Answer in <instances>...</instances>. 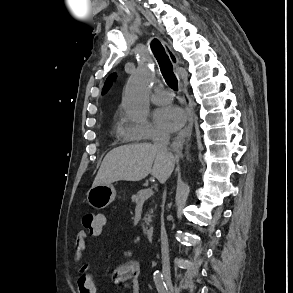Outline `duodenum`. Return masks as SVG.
<instances>
[{
	"mask_svg": "<svg viewBox=\"0 0 293 293\" xmlns=\"http://www.w3.org/2000/svg\"><path fill=\"white\" fill-rule=\"evenodd\" d=\"M146 233H147V237H148V239H149L151 242H153V241H154V238H155V231H154V229L151 228V227H149V228H147Z\"/></svg>",
	"mask_w": 293,
	"mask_h": 293,
	"instance_id": "410a0bca",
	"label": "duodenum"
}]
</instances>
